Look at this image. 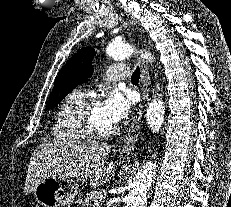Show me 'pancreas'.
Listing matches in <instances>:
<instances>
[{
	"mask_svg": "<svg viewBox=\"0 0 231 207\" xmlns=\"http://www.w3.org/2000/svg\"><path fill=\"white\" fill-rule=\"evenodd\" d=\"M103 197L104 195L101 190L91 191L87 193V195L79 201V205L81 207H90L96 202L101 204L103 202Z\"/></svg>",
	"mask_w": 231,
	"mask_h": 207,
	"instance_id": "cf45deb5",
	"label": "pancreas"
}]
</instances>
